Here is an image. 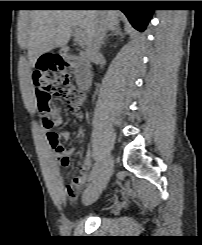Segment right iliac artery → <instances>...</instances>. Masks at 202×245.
<instances>
[{
  "label": "right iliac artery",
  "instance_id": "1",
  "mask_svg": "<svg viewBox=\"0 0 202 245\" xmlns=\"http://www.w3.org/2000/svg\"><path fill=\"white\" fill-rule=\"evenodd\" d=\"M104 164H105V162H103V161H98L95 164V167H94L95 174L90 180H94L95 176L98 174V172L101 170V168L103 167Z\"/></svg>",
  "mask_w": 202,
  "mask_h": 245
}]
</instances>
